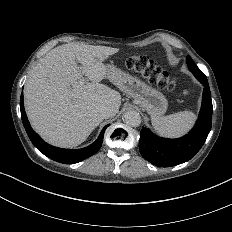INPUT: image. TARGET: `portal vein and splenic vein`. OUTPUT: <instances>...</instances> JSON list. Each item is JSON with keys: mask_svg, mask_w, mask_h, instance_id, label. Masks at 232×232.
<instances>
[{"mask_svg": "<svg viewBox=\"0 0 232 232\" xmlns=\"http://www.w3.org/2000/svg\"><path fill=\"white\" fill-rule=\"evenodd\" d=\"M79 82L80 83H85V79L82 77V78L79 79Z\"/></svg>", "mask_w": 232, "mask_h": 232, "instance_id": "18ae733b", "label": "portal vein and splenic vein"}]
</instances>
